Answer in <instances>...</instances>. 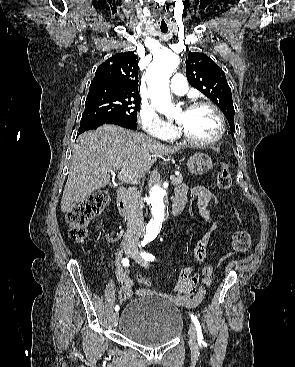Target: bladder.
<instances>
[{"label": "bladder", "instance_id": "bladder-1", "mask_svg": "<svg viewBox=\"0 0 295 367\" xmlns=\"http://www.w3.org/2000/svg\"><path fill=\"white\" fill-rule=\"evenodd\" d=\"M119 328L129 340L146 347L163 345L177 338L183 329L180 310L158 296H143L123 308Z\"/></svg>", "mask_w": 295, "mask_h": 367}]
</instances>
